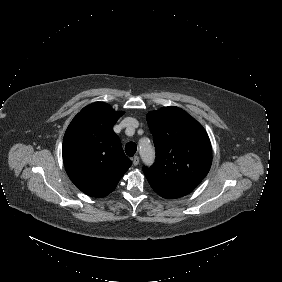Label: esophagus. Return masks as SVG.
<instances>
[{
	"label": "esophagus",
	"mask_w": 282,
	"mask_h": 282,
	"mask_svg": "<svg viewBox=\"0 0 282 282\" xmlns=\"http://www.w3.org/2000/svg\"><path fill=\"white\" fill-rule=\"evenodd\" d=\"M139 164V157L136 155V156H134V158H133V165L134 166H137Z\"/></svg>",
	"instance_id": "esophagus-1"
}]
</instances>
